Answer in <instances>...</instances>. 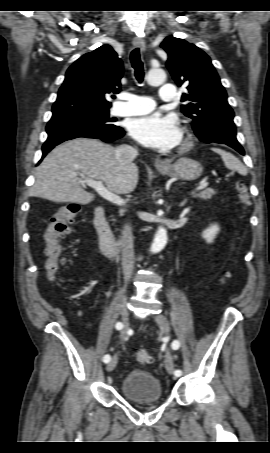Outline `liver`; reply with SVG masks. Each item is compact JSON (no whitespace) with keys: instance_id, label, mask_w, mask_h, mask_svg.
Here are the masks:
<instances>
[{"instance_id":"6515ba94","label":"liver","mask_w":270,"mask_h":453,"mask_svg":"<svg viewBox=\"0 0 270 453\" xmlns=\"http://www.w3.org/2000/svg\"><path fill=\"white\" fill-rule=\"evenodd\" d=\"M102 181L116 194H129L138 183V167L120 164L115 149L96 139L77 138L54 148L37 167L30 195L56 203L86 205L94 195L78 177Z\"/></svg>"}]
</instances>
